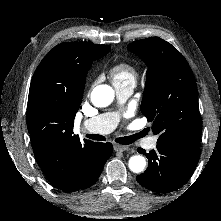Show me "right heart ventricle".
<instances>
[{
	"instance_id": "right-heart-ventricle-1",
	"label": "right heart ventricle",
	"mask_w": 221,
	"mask_h": 221,
	"mask_svg": "<svg viewBox=\"0 0 221 221\" xmlns=\"http://www.w3.org/2000/svg\"><path fill=\"white\" fill-rule=\"evenodd\" d=\"M109 74L115 86L125 84L134 85L137 77V69L134 64L128 61H120L110 68Z\"/></svg>"
}]
</instances>
